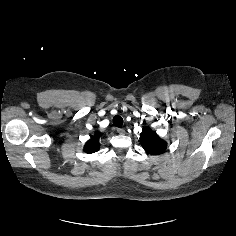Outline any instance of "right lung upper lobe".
Masks as SVG:
<instances>
[{"instance_id": "cb5924a9", "label": "right lung upper lobe", "mask_w": 236, "mask_h": 236, "mask_svg": "<svg viewBox=\"0 0 236 236\" xmlns=\"http://www.w3.org/2000/svg\"><path fill=\"white\" fill-rule=\"evenodd\" d=\"M100 136L99 133H96L84 146V151L86 153H94L99 150V142L98 137Z\"/></svg>"}]
</instances>
